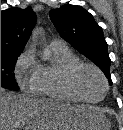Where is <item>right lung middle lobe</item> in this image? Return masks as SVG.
I'll list each match as a JSON object with an SVG mask.
<instances>
[{"instance_id": "right-lung-middle-lobe-1", "label": "right lung middle lobe", "mask_w": 123, "mask_h": 130, "mask_svg": "<svg viewBox=\"0 0 123 130\" xmlns=\"http://www.w3.org/2000/svg\"><path fill=\"white\" fill-rule=\"evenodd\" d=\"M21 53L1 54V87L9 90H18L13 73L17 58Z\"/></svg>"}]
</instances>
